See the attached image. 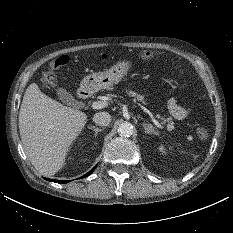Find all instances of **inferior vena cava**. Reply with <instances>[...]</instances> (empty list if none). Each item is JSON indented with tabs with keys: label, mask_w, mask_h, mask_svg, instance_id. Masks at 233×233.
I'll list each match as a JSON object with an SVG mask.
<instances>
[{
	"label": "inferior vena cava",
	"mask_w": 233,
	"mask_h": 233,
	"mask_svg": "<svg viewBox=\"0 0 233 233\" xmlns=\"http://www.w3.org/2000/svg\"><path fill=\"white\" fill-rule=\"evenodd\" d=\"M93 121L100 126H108L111 122V115L107 112L96 113L93 117Z\"/></svg>",
	"instance_id": "inferior-vena-cava-1"
}]
</instances>
